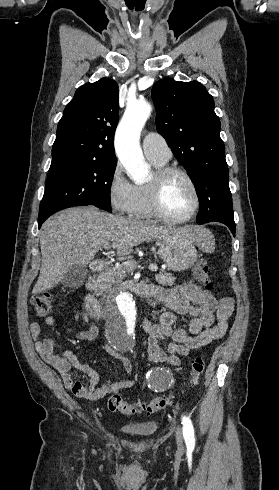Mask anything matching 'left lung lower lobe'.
I'll return each mask as SVG.
<instances>
[{
	"mask_svg": "<svg viewBox=\"0 0 279 490\" xmlns=\"http://www.w3.org/2000/svg\"><path fill=\"white\" fill-rule=\"evenodd\" d=\"M222 223V222H220ZM225 225H227L229 227V229L231 230L233 236H235V229H236V226H235V223L234 224H231V223H223Z\"/></svg>",
	"mask_w": 279,
	"mask_h": 490,
	"instance_id": "obj_1",
	"label": "left lung lower lobe"
}]
</instances>
